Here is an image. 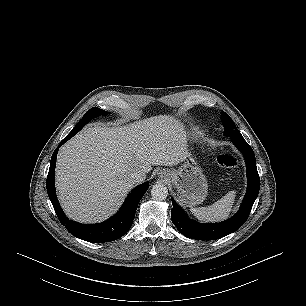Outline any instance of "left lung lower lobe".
I'll return each instance as SVG.
<instances>
[{"mask_svg":"<svg viewBox=\"0 0 306 306\" xmlns=\"http://www.w3.org/2000/svg\"><path fill=\"white\" fill-rule=\"evenodd\" d=\"M233 144L241 151L246 162L247 192L238 212L230 219L215 223H198L187 217L184 211L172 200L171 218L173 224L186 237L196 240H216L239 229L247 220L255 199L259 193L260 178L252 148L244 138H231Z\"/></svg>","mask_w":306,"mask_h":306,"instance_id":"1","label":"left lung lower lobe"}]
</instances>
